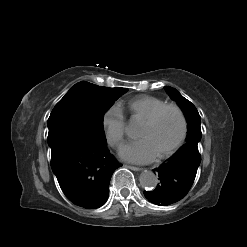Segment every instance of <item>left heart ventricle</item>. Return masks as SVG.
<instances>
[{"mask_svg":"<svg viewBox=\"0 0 247 247\" xmlns=\"http://www.w3.org/2000/svg\"><path fill=\"white\" fill-rule=\"evenodd\" d=\"M180 130L181 124L178 115L174 111L168 110L161 115L154 125H141L138 138L148 140L158 155L176 141Z\"/></svg>","mask_w":247,"mask_h":247,"instance_id":"1","label":"left heart ventricle"}]
</instances>
